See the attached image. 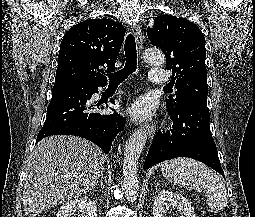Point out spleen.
<instances>
[{"mask_svg":"<svg viewBox=\"0 0 255 217\" xmlns=\"http://www.w3.org/2000/svg\"><path fill=\"white\" fill-rule=\"evenodd\" d=\"M161 171L163 176L175 185L204 191L211 210L219 211L227 206L228 196L223 180L201 162L176 158L163 162Z\"/></svg>","mask_w":255,"mask_h":217,"instance_id":"1","label":"spleen"}]
</instances>
